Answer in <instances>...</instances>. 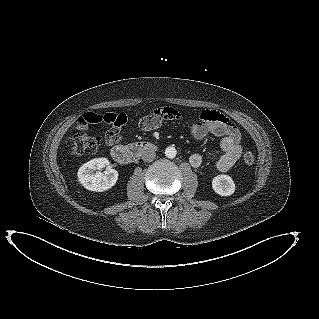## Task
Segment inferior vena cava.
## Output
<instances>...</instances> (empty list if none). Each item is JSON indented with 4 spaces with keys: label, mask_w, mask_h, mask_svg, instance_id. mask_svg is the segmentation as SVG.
Masks as SVG:
<instances>
[{
    "label": "inferior vena cava",
    "mask_w": 319,
    "mask_h": 319,
    "mask_svg": "<svg viewBox=\"0 0 319 319\" xmlns=\"http://www.w3.org/2000/svg\"><path fill=\"white\" fill-rule=\"evenodd\" d=\"M156 157V153L152 149H147L142 152V160L144 162H152Z\"/></svg>",
    "instance_id": "1"
}]
</instances>
